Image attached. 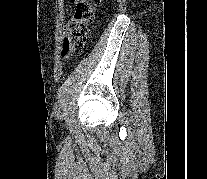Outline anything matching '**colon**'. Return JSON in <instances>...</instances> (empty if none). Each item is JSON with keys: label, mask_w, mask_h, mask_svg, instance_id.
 Instances as JSON below:
<instances>
[{"label": "colon", "mask_w": 207, "mask_h": 179, "mask_svg": "<svg viewBox=\"0 0 207 179\" xmlns=\"http://www.w3.org/2000/svg\"><path fill=\"white\" fill-rule=\"evenodd\" d=\"M75 9L66 26L63 53L68 55L72 49L82 48L88 38L89 25L93 22L96 7L101 0H74Z\"/></svg>", "instance_id": "obj_1"}]
</instances>
